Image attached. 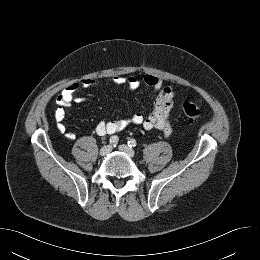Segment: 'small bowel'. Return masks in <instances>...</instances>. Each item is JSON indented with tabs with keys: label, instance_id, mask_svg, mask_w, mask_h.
<instances>
[{
	"label": "small bowel",
	"instance_id": "c3829d8e",
	"mask_svg": "<svg viewBox=\"0 0 260 260\" xmlns=\"http://www.w3.org/2000/svg\"><path fill=\"white\" fill-rule=\"evenodd\" d=\"M109 82L117 86L126 85L130 90H135L140 85V79L136 76H115L109 79ZM143 82L157 93L150 113L147 116L141 113H133L117 120L100 121L96 125V133L99 136L118 133L130 125H139L146 130L156 128L162 131L164 136H169L172 133L171 113L174 109L175 89L153 74L145 75ZM98 84L99 80L95 78L81 79L71 83L60 93L55 119L58 130L64 133L68 139L74 140L76 135L68 132L63 122L65 108L69 107L73 102L80 101L78 96L80 90L92 88Z\"/></svg>",
	"mask_w": 260,
	"mask_h": 260
}]
</instances>
